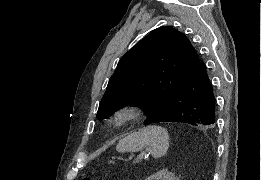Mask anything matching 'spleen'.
Masks as SVG:
<instances>
[{"label": "spleen", "mask_w": 261, "mask_h": 180, "mask_svg": "<svg viewBox=\"0 0 261 180\" xmlns=\"http://www.w3.org/2000/svg\"><path fill=\"white\" fill-rule=\"evenodd\" d=\"M144 148H149L152 158H163L169 148V136L165 128L161 126H147L139 132L129 134L120 140L116 146L117 152H141Z\"/></svg>", "instance_id": "3e777b00"}]
</instances>
